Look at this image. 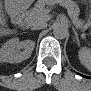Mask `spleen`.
<instances>
[{"mask_svg": "<svg viewBox=\"0 0 91 91\" xmlns=\"http://www.w3.org/2000/svg\"><path fill=\"white\" fill-rule=\"evenodd\" d=\"M78 57L81 63L87 67L90 68L91 65V51L88 48H81L78 52Z\"/></svg>", "mask_w": 91, "mask_h": 91, "instance_id": "obj_1", "label": "spleen"}]
</instances>
